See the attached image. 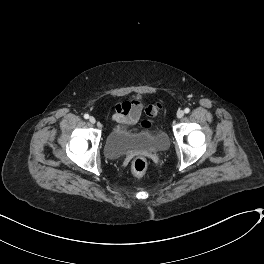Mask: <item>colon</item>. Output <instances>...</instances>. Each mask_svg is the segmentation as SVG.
<instances>
[{"label":"colon","mask_w":264,"mask_h":264,"mask_svg":"<svg viewBox=\"0 0 264 264\" xmlns=\"http://www.w3.org/2000/svg\"><path fill=\"white\" fill-rule=\"evenodd\" d=\"M162 110L160 104H153L148 106L146 113L149 117H155ZM151 126V123L147 121V127ZM148 167V162L144 157H137L132 162V172L135 176L143 175Z\"/></svg>","instance_id":"colon-1"}]
</instances>
